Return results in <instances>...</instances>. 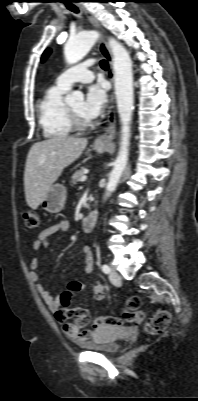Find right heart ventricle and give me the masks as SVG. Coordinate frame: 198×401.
Returning a JSON list of instances; mask_svg holds the SVG:
<instances>
[{
  "instance_id": "1",
  "label": "right heart ventricle",
  "mask_w": 198,
  "mask_h": 401,
  "mask_svg": "<svg viewBox=\"0 0 198 401\" xmlns=\"http://www.w3.org/2000/svg\"><path fill=\"white\" fill-rule=\"evenodd\" d=\"M67 90L54 84L47 88L38 102L39 125L46 138H64L73 131L63 99Z\"/></svg>"
}]
</instances>
